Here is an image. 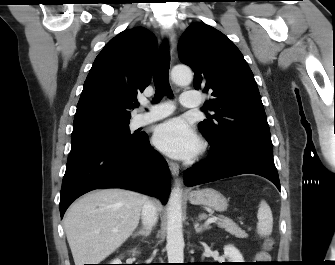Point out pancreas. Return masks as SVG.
Returning a JSON list of instances; mask_svg holds the SVG:
<instances>
[{
  "label": "pancreas",
  "mask_w": 335,
  "mask_h": 265,
  "mask_svg": "<svg viewBox=\"0 0 335 265\" xmlns=\"http://www.w3.org/2000/svg\"><path fill=\"white\" fill-rule=\"evenodd\" d=\"M201 217H206V215H201ZM218 226L224 228L231 235L237 238H246L247 234L231 219L226 217H220L218 221Z\"/></svg>",
  "instance_id": "pancreas-1"
}]
</instances>
